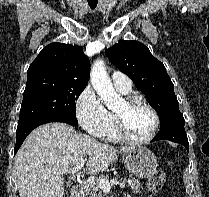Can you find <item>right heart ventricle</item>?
<instances>
[{"label":"right heart ventricle","mask_w":209,"mask_h":197,"mask_svg":"<svg viewBox=\"0 0 209 197\" xmlns=\"http://www.w3.org/2000/svg\"><path fill=\"white\" fill-rule=\"evenodd\" d=\"M120 92V91H119ZM122 94H127L125 92H120ZM111 114V113H110ZM108 140L110 141H118L120 139L117 130H116V126H115V118L114 115L111 114V122H110V126L108 127L105 135H104Z\"/></svg>","instance_id":"obj_1"}]
</instances>
